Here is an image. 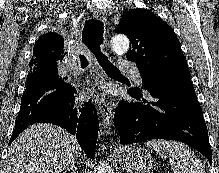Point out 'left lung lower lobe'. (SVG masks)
<instances>
[{
    "instance_id": "left-lung-lower-lobe-1",
    "label": "left lung lower lobe",
    "mask_w": 219,
    "mask_h": 173,
    "mask_svg": "<svg viewBox=\"0 0 219 173\" xmlns=\"http://www.w3.org/2000/svg\"><path fill=\"white\" fill-rule=\"evenodd\" d=\"M149 100L134 89L128 94L141 102L120 101L114 125L121 144L150 139L183 142L201 152L212 164V151L202 109L192 85L148 91Z\"/></svg>"
}]
</instances>
